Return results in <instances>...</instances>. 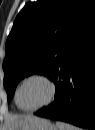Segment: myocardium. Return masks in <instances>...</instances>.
<instances>
[{"label": "myocardium", "instance_id": "1", "mask_svg": "<svg viewBox=\"0 0 95 130\" xmlns=\"http://www.w3.org/2000/svg\"><path fill=\"white\" fill-rule=\"evenodd\" d=\"M33 79H39V80H42L44 81L48 87H49V96L47 98V100L45 102H43L42 104H40L39 106L37 107H34V108H24L22 107L20 104H19V101H18V95H19V91L21 89V87L28 81L30 80H33ZM55 95H56V84L55 82L47 75L45 74H42V73H34V74H31L27 77H25L21 82L20 84L18 85V87L16 88V91H15V95H14V100H15V103L17 105V107L22 110V111H25V112H34V111H37L47 105H49L55 98Z\"/></svg>", "mask_w": 95, "mask_h": 130}]
</instances>
